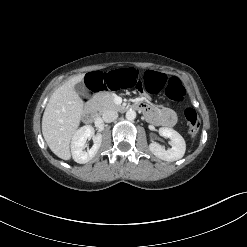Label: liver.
<instances>
[{"label": "liver", "instance_id": "6515ba94", "mask_svg": "<svg viewBox=\"0 0 247 247\" xmlns=\"http://www.w3.org/2000/svg\"><path fill=\"white\" fill-rule=\"evenodd\" d=\"M80 74L69 79L51 95L42 118V134L51 151L63 160L71 158L70 142L83 114L84 103L75 91Z\"/></svg>", "mask_w": 247, "mask_h": 247}]
</instances>
